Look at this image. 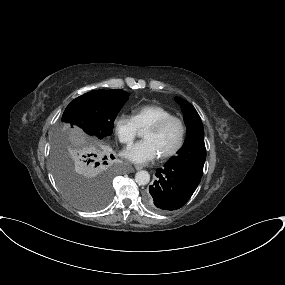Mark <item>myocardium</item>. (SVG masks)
<instances>
[{
    "mask_svg": "<svg viewBox=\"0 0 285 285\" xmlns=\"http://www.w3.org/2000/svg\"><path fill=\"white\" fill-rule=\"evenodd\" d=\"M171 122H177L179 124L180 129H181L180 139H179V142L177 143V145L171 151H169L166 154L159 155V158L161 160H168V159L176 156L181 151V149L183 148V145L185 143V138H186V126H185L184 121L179 117L169 116V117L163 118V119L155 122L154 124L150 125L145 130V131L158 132V131L162 130L164 127H166Z\"/></svg>",
    "mask_w": 285,
    "mask_h": 285,
    "instance_id": "obj_1",
    "label": "myocardium"
}]
</instances>
